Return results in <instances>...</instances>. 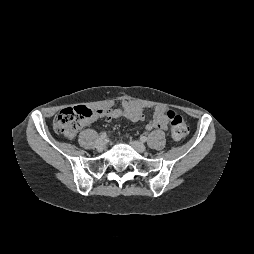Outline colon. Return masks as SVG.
Returning a JSON list of instances; mask_svg holds the SVG:
<instances>
[{
  "mask_svg": "<svg viewBox=\"0 0 254 254\" xmlns=\"http://www.w3.org/2000/svg\"><path fill=\"white\" fill-rule=\"evenodd\" d=\"M99 115L86 106H76L63 109L53 120V128L56 133L66 138H73L78 129L87 122H91ZM165 115L170 122L171 136L174 141L183 140L189 134V126L181 114L172 108H167Z\"/></svg>",
  "mask_w": 254,
  "mask_h": 254,
  "instance_id": "colon-1",
  "label": "colon"
}]
</instances>
